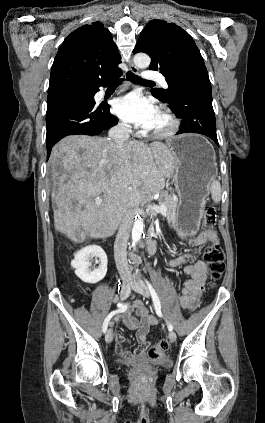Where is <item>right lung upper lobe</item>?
<instances>
[{
	"instance_id": "right-lung-upper-lobe-1",
	"label": "right lung upper lobe",
	"mask_w": 265,
	"mask_h": 423,
	"mask_svg": "<svg viewBox=\"0 0 265 423\" xmlns=\"http://www.w3.org/2000/svg\"><path fill=\"white\" fill-rule=\"evenodd\" d=\"M121 56L100 22L84 25L64 40L54 59L48 93L109 82L121 74Z\"/></svg>"
}]
</instances>
